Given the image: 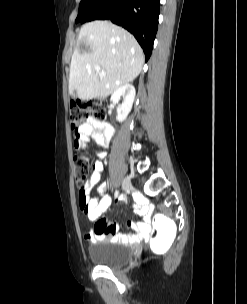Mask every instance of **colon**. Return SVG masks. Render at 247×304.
<instances>
[{
  "label": "colon",
  "instance_id": "1",
  "mask_svg": "<svg viewBox=\"0 0 247 304\" xmlns=\"http://www.w3.org/2000/svg\"><path fill=\"white\" fill-rule=\"evenodd\" d=\"M107 103L100 99L78 101L70 107V122L72 130L77 134L81 125L88 119L103 120L106 117ZM76 148L77 143H76ZM82 154H75L73 158L74 177L79 189V195H83L89 172V162L80 161ZM151 237H148V253H169L172 248V240H175L174 220H170L168 214L162 210H155Z\"/></svg>",
  "mask_w": 247,
  "mask_h": 304
}]
</instances>
